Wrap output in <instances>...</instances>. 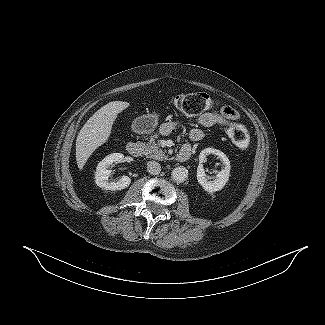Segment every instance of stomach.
<instances>
[{
	"instance_id": "1",
	"label": "stomach",
	"mask_w": 325,
	"mask_h": 325,
	"mask_svg": "<svg viewBox=\"0 0 325 325\" xmlns=\"http://www.w3.org/2000/svg\"><path fill=\"white\" fill-rule=\"evenodd\" d=\"M158 125V115L157 114H147L138 117L132 126L134 132L139 134H150L152 133Z\"/></svg>"
}]
</instances>
